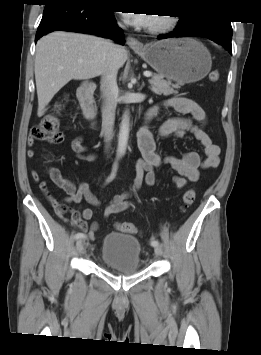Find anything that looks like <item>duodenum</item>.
Returning a JSON list of instances; mask_svg holds the SVG:
<instances>
[{
	"label": "duodenum",
	"instance_id": "410a0bca",
	"mask_svg": "<svg viewBox=\"0 0 261 355\" xmlns=\"http://www.w3.org/2000/svg\"><path fill=\"white\" fill-rule=\"evenodd\" d=\"M96 89L95 83H85L80 86L78 90V99L82 108L85 118L91 123L96 125V105L94 101V92Z\"/></svg>",
	"mask_w": 261,
	"mask_h": 355
}]
</instances>
